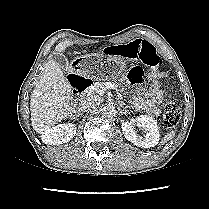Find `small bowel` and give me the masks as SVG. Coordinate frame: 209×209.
<instances>
[{"instance_id": "obj_1", "label": "small bowel", "mask_w": 209, "mask_h": 209, "mask_svg": "<svg viewBox=\"0 0 209 209\" xmlns=\"http://www.w3.org/2000/svg\"><path fill=\"white\" fill-rule=\"evenodd\" d=\"M126 78L131 86L141 88L146 85L148 76L142 68L133 66L128 69ZM163 101V91L158 81L152 80L148 90L140 89L134 96L132 104L135 109L143 110L151 115L160 113V105Z\"/></svg>"}]
</instances>
